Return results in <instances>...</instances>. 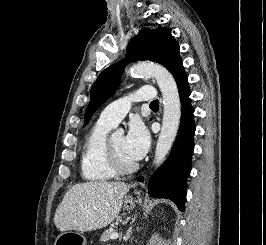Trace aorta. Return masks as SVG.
<instances>
[{
  "mask_svg": "<svg viewBox=\"0 0 266 245\" xmlns=\"http://www.w3.org/2000/svg\"><path fill=\"white\" fill-rule=\"evenodd\" d=\"M131 76H154L162 94L163 120L154 155V165L159 167L169 153L178 133L181 118V102L176 80L162 64H133ZM122 135L123 131H116Z\"/></svg>",
  "mask_w": 266,
  "mask_h": 245,
  "instance_id": "762f6f07",
  "label": "aorta"
}]
</instances>
